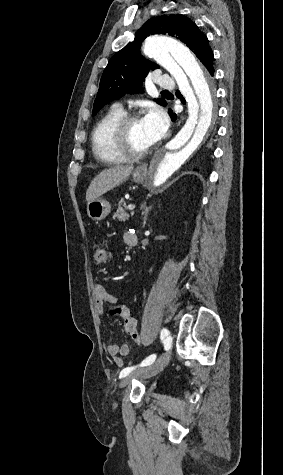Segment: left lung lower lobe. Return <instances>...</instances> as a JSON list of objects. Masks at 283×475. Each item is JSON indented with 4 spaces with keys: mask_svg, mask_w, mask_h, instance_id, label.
Here are the masks:
<instances>
[{
    "mask_svg": "<svg viewBox=\"0 0 283 475\" xmlns=\"http://www.w3.org/2000/svg\"><path fill=\"white\" fill-rule=\"evenodd\" d=\"M213 60H214V55H213V52L211 50L210 53H209L208 58L203 62V65L207 68V70L209 71V73L212 76L214 75ZM169 112L171 113L172 119L175 120L176 119V114L172 113V110H169Z\"/></svg>",
    "mask_w": 283,
    "mask_h": 475,
    "instance_id": "1",
    "label": "left lung lower lobe"
}]
</instances>
